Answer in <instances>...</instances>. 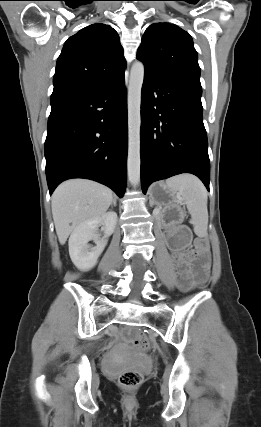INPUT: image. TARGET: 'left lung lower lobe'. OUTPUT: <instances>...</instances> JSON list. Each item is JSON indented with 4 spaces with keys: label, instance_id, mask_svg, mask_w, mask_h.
<instances>
[{
    "label": "left lung lower lobe",
    "instance_id": "1",
    "mask_svg": "<svg viewBox=\"0 0 261 427\" xmlns=\"http://www.w3.org/2000/svg\"><path fill=\"white\" fill-rule=\"evenodd\" d=\"M201 84L145 71L141 99V186L180 173L209 191L210 161Z\"/></svg>",
    "mask_w": 261,
    "mask_h": 427
}]
</instances>
